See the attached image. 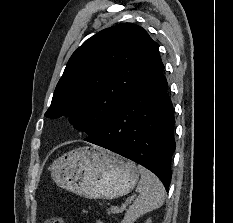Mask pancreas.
<instances>
[{"instance_id": "cf45deb5", "label": "pancreas", "mask_w": 233, "mask_h": 223, "mask_svg": "<svg viewBox=\"0 0 233 223\" xmlns=\"http://www.w3.org/2000/svg\"><path fill=\"white\" fill-rule=\"evenodd\" d=\"M110 213H118V207H110Z\"/></svg>"}]
</instances>
